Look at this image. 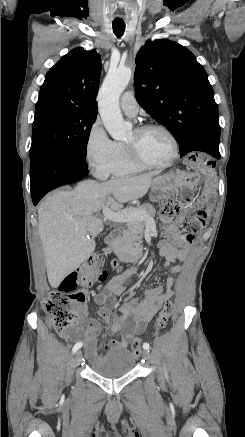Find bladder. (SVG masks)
Masks as SVG:
<instances>
[{
  "label": "bladder",
  "mask_w": 245,
  "mask_h": 437,
  "mask_svg": "<svg viewBox=\"0 0 245 437\" xmlns=\"http://www.w3.org/2000/svg\"><path fill=\"white\" fill-rule=\"evenodd\" d=\"M136 363L135 356L127 349L110 351L90 364L93 372L114 378L130 372Z\"/></svg>",
  "instance_id": "1"
}]
</instances>
